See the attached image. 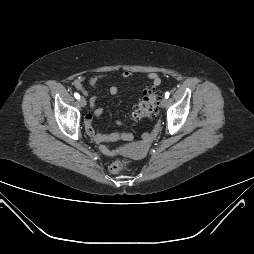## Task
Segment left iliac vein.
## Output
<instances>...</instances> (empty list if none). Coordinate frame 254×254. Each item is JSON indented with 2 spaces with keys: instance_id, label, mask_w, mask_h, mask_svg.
Here are the masks:
<instances>
[{
  "instance_id": "left-iliac-vein-1",
  "label": "left iliac vein",
  "mask_w": 254,
  "mask_h": 254,
  "mask_svg": "<svg viewBox=\"0 0 254 254\" xmlns=\"http://www.w3.org/2000/svg\"><path fill=\"white\" fill-rule=\"evenodd\" d=\"M167 105V99L165 97H163L160 101V106L162 108H164Z\"/></svg>"
}]
</instances>
